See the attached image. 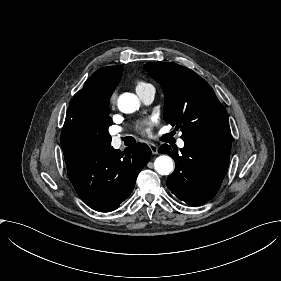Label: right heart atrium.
<instances>
[{
    "mask_svg": "<svg viewBox=\"0 0 281 281\" xmlns=\"http://www.w3.org/2000/svg\"><path fill=\"white\" fill-rule=\"evenodd\" d=\"M118 100H119V99H118ZM116 101H117V94H116V93H112V94L110 95V102H111L112 104H114Z\"/></svg>",
    "mask_w": 281,
    "mask_h": 281,
    "instance_id": "d8ad5b80",
    "label": "right heart atrium"
}]
</instances>
